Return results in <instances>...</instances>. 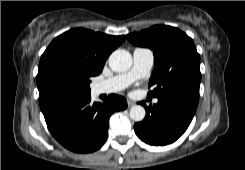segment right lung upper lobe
<instances>
[{"instance_id": "cb5924a9", "label": "right lung upper lobe", "mask_w": 245, "mask_h": 170, "mask_svg": "<svg viewBox=\"0 0 245 170\" xmlns=\"http://www.w3.org/2000/svg\"><path fill=\"white\" fill-rule=\"evenodd\" d=\"M125 36H110L76 28L56 37L41 56L37 75L39 103L44 115L60 105L53 104L44 90L46 76L55 70L91 77L101 73L106 59Z\"/></svg>"}]
</instances>
